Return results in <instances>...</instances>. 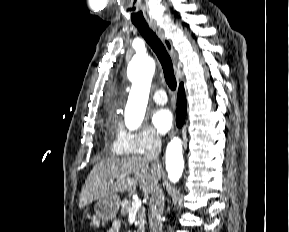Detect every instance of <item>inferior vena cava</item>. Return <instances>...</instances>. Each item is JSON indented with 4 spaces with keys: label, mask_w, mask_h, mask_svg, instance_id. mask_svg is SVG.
Returning a JSON list of instances; mask_svg holds the SVG:
<instances>
[{
    "label": "inferior vena cava",
    "mask_w": 289,
    "mask_h": 232,
    "mask_svg": "<svg viewBox=\"0 0 289 232\" xmlns=\"http://www.w3.org/2000/svg\"><path fill=\"white\" fill-rule=\"evenodd\" d=\"M161 138L154 134L151 136L148 151L145 155V160L152 163L156 167H160L159 154L161 152ZM163 190L157 184L150 197V214H149V229L150 232H162L161 215L164 208Z\"/></svg>",
    "instance_id": "1"
}]
</instances>
